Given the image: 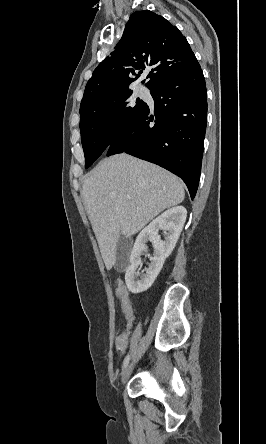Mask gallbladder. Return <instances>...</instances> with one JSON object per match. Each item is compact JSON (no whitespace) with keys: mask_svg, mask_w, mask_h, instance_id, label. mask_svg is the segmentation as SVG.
Wrapping results in <instances>:
<instances>
[{"mask_svg":"<svg viewBox=\"0 0 266 444\" xmlns=\"http://www.w3.org/2000/svg\"><path fill=\"white\" fill-rule=\"evenodd\" d=\"M130 249V239L124 235H120L116 246V261L115 269L117 271L124 270L127 262Z\"/></svg>","mask_w":266,"mask_h":444,"instance_id":"bac80fb5","label":"gallbladder"}]
</instances>
